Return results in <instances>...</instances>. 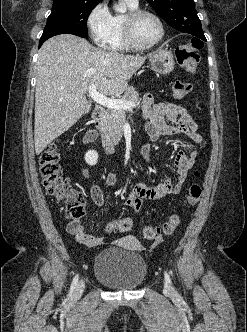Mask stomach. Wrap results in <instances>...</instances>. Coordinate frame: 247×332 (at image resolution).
Returning a JSON list of instances; mask_svg holds the SVG:
<instances>
[{"label": "stomach", "mask_w": 247, "mask_h": 332, "mask_svg": "<svg viewBox=\"0 0 247 332\" xmlns=\"http://www.w3.org/2000/svg\"><path fill=\"white\" fill-rule=\"evenodd\" d=\"M150 64L154 71L168 74L174 69V58L171 51L159 50L150 56Z\"/></svg>", "instance_id": "stomach-1"}]
</instances>
